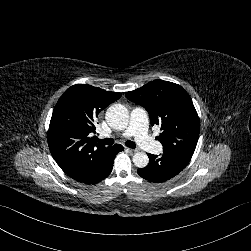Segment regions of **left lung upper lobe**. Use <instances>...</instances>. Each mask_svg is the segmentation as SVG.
I'll list each match as a JSON object with an SVG mask.
<instances>
[{
	"instance_id": "5c2ea615",
	"label": "left lung upper lobe",
	"mask_w": 251,
	"mask_h": 251,
	"mask_svg": "<svg viewBox=\"0 0 251 251\" xmlns=\"http://www.w3.org/2000/svg\"><path fill=\"white\" fill-rule=\"evenodd\" d=\"M126 98L144 107L151 125L161 126L156 137L163 151L191 159L199 137L200 121L188 93L178 84L155 80L134 91Z\"/></svg>"
}]
</instances>
